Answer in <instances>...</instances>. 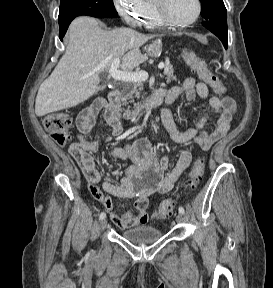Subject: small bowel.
I'll return each mask as SVG.
<instances>
[{"mask_svg":"<svg viewBox=\"0 0 273 288\" xmlns=\"http://www.w3.org/2000/svg\"><path fill=\"white\" fill-rule=\"evenodd\" d=\"M165 91L169 103H172L181 94H184L188 101L199 96L208 101L209 107L216 115L211 130L207 128L210 115L205 113L194 127L180 131L169 112V118L164 122V125L175 143L186 144L195 141L201 149L208 150L230 131L232 119L236 112V103L231 97L210 96L206 83L197 81L193 77L187 78L181 85ZM104 106V102L97 101L78 114L76 118L78 141L69 146V153L82 170L92 196L109 211L113 210L114 205L112 199L105 193L118 198L134 199L136 215L129 213L119 215L111 212V220L117 227L125 229L144 225L148 222L146 212L148 197L169 192L183 171L190 165L191 154L188 150H183L175 167L167 171L166 159H156L149 143L145 139H140L109 151V156L129 161L131 165L126 169L125 176L119 184L102 181L95 159L98 144L87 139L86 134ZM105 120L113 127L114 135L119 136L123 129L122 122L119 119L111 118L107 112Z\"/></svg>","mask_w":273,"mask_h":288,"instance_id":"small-bowel-1","label":"small bowel"}]
</instances>
